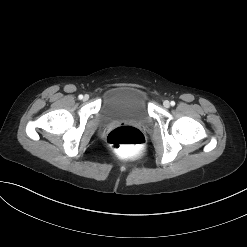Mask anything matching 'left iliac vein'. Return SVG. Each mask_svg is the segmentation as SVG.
Returning a JSON list of instances; mask_svg holds the SVG:
<instances>
[{"instance_id":"4c4485c4","label":"left iliac vein","mask_w":247,"mask_h":247,"mask_svg":"<svg viewBox=\"0 0 247 247\" xmlns=\"http://www.w3.org/2000/svg\"><path fill=\"white\" fill-rule=\"evenodd\" d=\"M163 105H164L165 108H169L170 107V102L168 100H165L163 102Z\"/></svg>"}]
</instances>
